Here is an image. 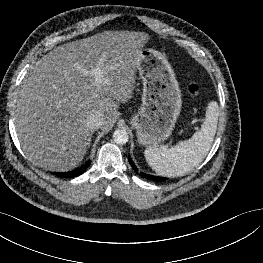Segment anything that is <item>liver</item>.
Segmentation results:
<instances>
[{"mask_svg":"<svg viewBox=\"0 0 263 263\" xmlns=\"http://www.w3.org/2000/svg\"><path fill=\"white\" fill-rule=\"evenodd\" d=\"M149 35L104 31L60 45L30 66L14 100L13 120L25 156L50 171L81 162L94 130L87 117L99 112L109 130L120 103L133 97L141 50ZM102 71L96 85L90 74Z\"/></svg>","mask_w":263,"mask_h":263,"instance_id":"liver-1","label":"liver"}]
</instances>
